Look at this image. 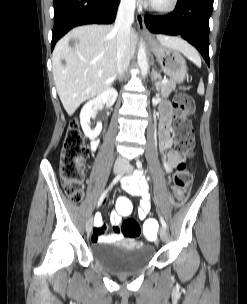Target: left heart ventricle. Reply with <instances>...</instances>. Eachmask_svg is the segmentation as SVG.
<instances>
[{
  "label": "left heart ventricle",
  "mask_w": 247,
  "mask_h": 304,
  "mask_svg": "<svg viewBox=\"0 0 247 304\" xmlns=\"http://www.w3.org/2000/svg\"><path fill=\"white\" fill-rule=\"evenodd\" d=\"M168 0H153L151 3L156 5V6H164L166 5Z\"/></svg>",
  "instance_id": "left-heart-ventricle-1"
}]
</instances>
